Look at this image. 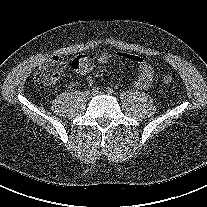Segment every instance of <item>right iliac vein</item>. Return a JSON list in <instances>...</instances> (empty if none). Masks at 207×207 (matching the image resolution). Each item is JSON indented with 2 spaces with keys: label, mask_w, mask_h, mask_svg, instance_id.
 <instances>
[{
  "label": "right iliac vein",
  "mask_w": 207,
  "mask_h": 207,
  "mask_svg": "<svg viewBox=\"0 0 207 207\" xmlns=\"http://www.w3.org/2000/svg\"><path fill=\"white\" fill-rule=\"evenodd\" d=\"M85 95H86L87 98H91V97L93 96V93L90 92V91H87V92L85 93Z\"/></svg>",
  "instance_id": "63e3f726"
}]
</instances>
